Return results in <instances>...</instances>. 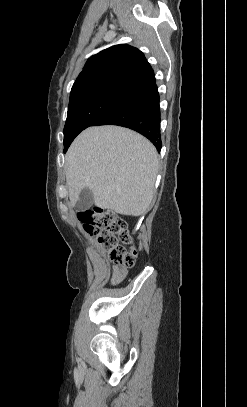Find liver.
<instances>
[{
  "instance_id": "obj_1",
  "label": "liver",
  "mask_w": 247,
  "mask_h": 407,
  "mask_svg": "<svg viewBox=\"0 0 247 407\" xmlns=\"http://www.w3.org/2000/svg\"><path fill=\"white\" fill-rule=\"evenodd\" d=\"M65 169L72 206L89 188L96 206L140 216L153 199L158 153L150 141L130 129L90 127L71 144Z\"/></svg>"
}]
</instances>
